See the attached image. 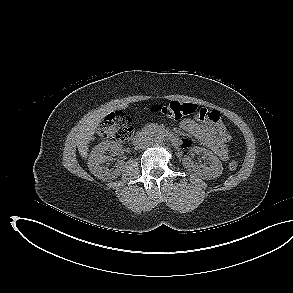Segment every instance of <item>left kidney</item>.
Returning a JSON list of instances; mask_svg holds the SVG:
<instances>
[{
	"label": "left kidney",
	"instance_id": "5707ae66",
	"mask_svg": "<svg viewBox=\"0 0 293 293\" xmlns=\"http://www.w3.org/2000/svg\"><path fill=\"white\" fill-rule=\"evenodd\" d=\"M195 153H201L207 158L209 166L206 165H196L191 160L190 156L183 158V166L190 171L195 172L199 177L203 179H214L219 177L223 172L222 163L217 156H215L212 151L205 148L194 147L192 149Z\"/></svg>",
	"mask_w": 293,
	"mask_h": 293
}]
</instances>
